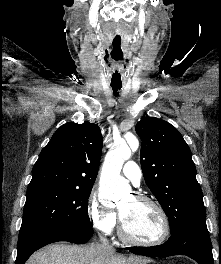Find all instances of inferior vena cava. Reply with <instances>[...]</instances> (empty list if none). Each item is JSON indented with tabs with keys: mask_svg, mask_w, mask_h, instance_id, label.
Segmentation results:
<instances>
[{
	"mask_svg": "<svg viewBox=\"0 0 221 264\" xmlns=\"http://www.w3.org/2000/svg\"><path fill=\"white\" fill-rule=\"evenodd\" d=\"M100 241H101V243H102V246H103L107 251H109V252H111V253H114V252H115V250L113 249V247H112L111 245H109L108 240H107L106 238L101 237V238H100Z\"/></svg>",
	"mask_w": 221,
	"mask_h": 264,
	"instance_id": "inferior-vena-cava-1",
	"label": "inferior vena cava"
}]
</instances>
